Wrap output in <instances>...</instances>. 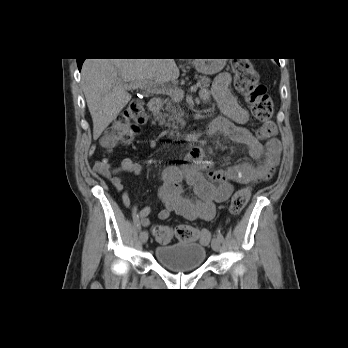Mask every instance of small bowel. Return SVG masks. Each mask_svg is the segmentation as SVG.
Returning <instances> with one entry per match:
<instances>
[{
  "label": "small bowel",
  "instance_id": "small-bowel-1",
  "mask_svg": "<svg viewBox=\"0 0 348 348\" xmlns=\"http://www.w3.org/2000/svg\"><path fill=\"white\" fill-rule=\"evenodd\" d=\"M231 75L221 73L214 81L211 90L202 89L200 98L209 103L212 99L218 104L222 116L216 117L210 124L212 134H221L229 141L247 148L250 158L256 162L243 163L229 168H216L200 147H193L188 153L186 165H170L165 168L158 190L162 204L159 218L164 220L176 213L188 220L210 221L215 217L216 204L227 201L233 193L235 184L250 185L269 179L277 168L281 154V144L277 138H271L265 145L261 144L245 127L249 120L247 111L238 103L230 90ZM95 172L109 180L121 193L124 205L129 208L135 219L143 226L149 227L150 206L139 208L133 205L124 187L125 173L139 175L142 166L124 157L118 167L109 161H98ZM190 184L196 198L183 194L181 182Z\"/></svg>",
  "mask_w": 348,
  "mask_h": 348
}]
</instances>
